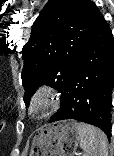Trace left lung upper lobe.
<instances>
[{
    "label": "left lung upper lobe",
    "mask_w": 114,
    "mask_h": 156,
    "mask_svg": "<svg viewBox=\"0 0 114 156\" xmlns=\"http://www.w3.org/2000/svg\"><path fill=\"white\" fill-rule=\"evenodd\" d=\"M98 14L99 9L90 0L48 1L22 50L26 105L43 84L56 88L63 103L77 59Z\"/></svg>",
    "instance_id": "left-lung-upper-lobe-1"
}]
</instances>
